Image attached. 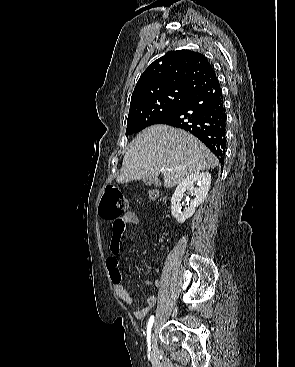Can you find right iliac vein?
Returning <instances> with one entry per match:
<instances>
[{
    "label": "right iliac vein",
    "mask_w": 295,
    "mask_h": 367,
    "mask_svg": "<svg viewBox=\"0 0 295 367\" xmlns=\"http://www.w3.org/2000/svg\"><path fill=\"white\" fill-rule=\"evenodd\" d=\"M156 324L157 323H155V326H154V330H155V327H156ZM154 330H153V333H152V340H151V355L153 356V357H155L156 356V354H157V340H156V337H155V332H154Z\"/></svg>",
    "instance_id": "1"
}]
</instances>
